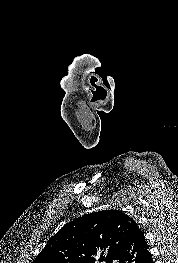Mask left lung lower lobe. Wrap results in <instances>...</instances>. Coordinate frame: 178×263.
<instances>
[{
	"instance_id": "0a47b994",
	"label": "left lung lower lobe",
	"mask_w": 178,
	"mask_h": 263,
	"mask_svg": "<svg viewBox=\"0 0 178 263\" xmlns=\"http://www.w3.org/2000/svg\"><path fill=\"white\" fill-rule=\"evenodd\" d=\"M114 261L118 263H154L144 234L135 221L128 228Z\"/></svg>"
}]
</instances>
